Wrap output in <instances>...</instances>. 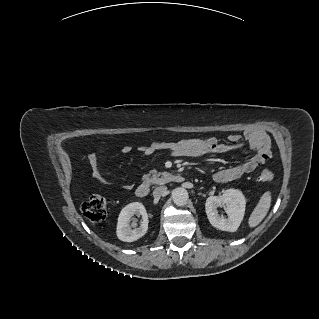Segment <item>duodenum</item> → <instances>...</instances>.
<instances>
[{
    "label": "duodenum",
    "mask_w": 319,
    "mask_h": 319,
    "mask_svg": "<svg viewBox=\"0 0 319 319\" xmlns=\"http://www.w3.org/2000/svg\"><path fill=\"white\" fill-rule=\"evenodd\" d=\"M183 177L176 173H160L154 179H148L139 184L135 194L139 198H145L149 195L153 184L176 183L182 181Z\"/></svg>",
    "instance_id": "obj_1"
}]
</instances>
